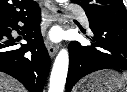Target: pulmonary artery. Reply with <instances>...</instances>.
Wrapping results in <instances>:
<instances>
[{
	"label": "pulmonary artery",
	"mask_w": 127,
	"mask_h": 92,
	"mask_svg": "<svg viewBox=\"0 0 127 92\" xmlns=\"http://www.w3.org/2000/svg\"><path fill=\"white\" fill-rule=\"evenodd\" d=\"M68 9L71 11H74L78 15L79 20L82 24H84V25L88 24V18H87L84 11H82L76 7H73V6H69Z\"/></svg>",
	"instance_id": "pulmonary-artery-1"
}]
</instances>
